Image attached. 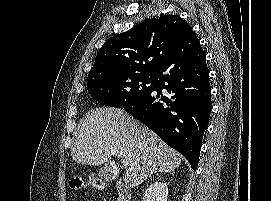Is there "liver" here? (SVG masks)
<instances>
[{"label":"liver","mask_w":271,"mask_h":201,"mask_svg":"<svg viewBox=\"0 0 271 201\" xmlns=\"http://www.w3.org/2000/svg\"><path fill=\"white\" fill-rule=\"evenodd\" d=\"M71 155L74 161L91 166L107 162L112 155L128 158L124 181L129 187L181 164V156L154 132L124 110L106 107L85 115Z\"/></svg>","instance_id":"1"}]
</instances>
